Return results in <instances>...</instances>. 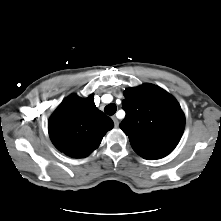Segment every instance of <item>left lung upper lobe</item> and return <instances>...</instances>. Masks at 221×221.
<instances>
[{"label":"left lung upper lobe","mask_w":221,"mask_h":221,"mask_svg":"<svg viewBox=\"0 0 221 221\" xmlns=\"http://www.w3.org/2000/svg\"><path fill=\"white\" fill-rule=\"evenodd\" d=\"M124 96L126 116L120 128L134 151L148 160L168 155L185 127V117L176 99L152 84L128 89Z\"/></svg>","instance_id":"1"}]
</instances>
